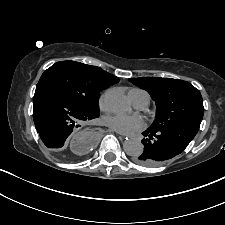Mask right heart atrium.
<instances>
[{"mask_svg":"<svg viewBox=\"0 0 225 225\" xmlns=\"http://www.w3.org/2000/svg\"><path fill=\"white\" fill-rule=\"evenodd\" d=\"M107 95H108V92L104 93L99 99V106L102 110L107 109Z\"/></svg>","mask_w":225,"mask_h":225,"instance_id":"1","label":"right heart atrium"}]
</instances>
